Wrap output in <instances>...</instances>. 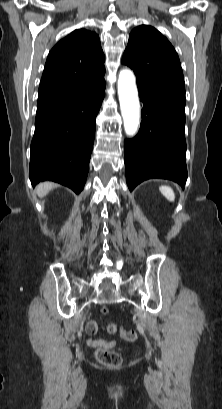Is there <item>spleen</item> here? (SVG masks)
I'll use <instances>...</instances> for the list:
<instances>
[{
	"label": "spleen",
	"mask_w": 222,
	"mask_h": 409,
	"mask_svg": "<svg viewBox=\"0 0 222 409\" xmlns=\"http://www.w3.org/2000/svg\"><path fill=\"white\" fill-rule=\"evenodd\" d=\"M160 191L170 202H173L175 200V194L171 187L161 186Z\"/></svg>",
	"instance_id": "spleen-1"
}]
</instances>
